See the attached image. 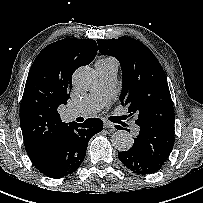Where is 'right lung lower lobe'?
Here are the masks:
<instances>
[{"mask_svg": "<svg viewBox=\"0 0 203 203\" xmlns=\"http://www.w3.org/2000/svg\"><path fill=\"white\" fill-rule=\"evenodd\" d=\"M102 129L103 122L98 118H89L84 123H68L49 155L42 163L34 166L50 178L68 176L83 162L90 138Z\"/></svg>", "mask_w": 203, "mask_h": 203, "instance_id": "right-lung-lower-lobe-1", "label": "right lung lower lobe"}]
</instances>
